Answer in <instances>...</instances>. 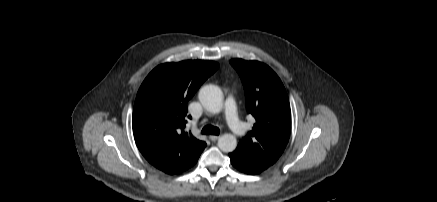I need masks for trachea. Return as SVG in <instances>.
Listing matches in <instances>:
<instances>
[{"mask_svg":"<svg viewBox=\"0 0 437 202\" xmlns=\"http://www.w3.org/2000/svg\"><path fill=\"white\" fill-rule=\"evenodd\" d=\"M201 133H202V134H205V135H209V134H212V135H219L220 130H219L218 127H215V126H213V125L208 124V125H205V126L203 127Z\"/></svg>","mask_w":437,"mask_h":202,"instance_id":"3493384b","label":"trachea"}]
</instances>
